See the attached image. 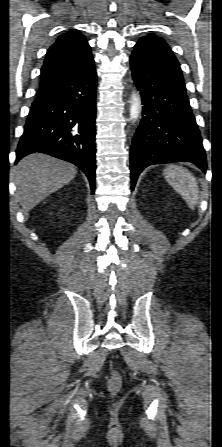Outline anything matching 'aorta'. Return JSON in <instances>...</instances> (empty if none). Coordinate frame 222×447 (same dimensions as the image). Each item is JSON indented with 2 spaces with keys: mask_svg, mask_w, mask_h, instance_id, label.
Returning <instances> with one entry per match:
<instances>
[{
  "mask_svg": "<svg viewBox=\"0 0 222 447\" xmlns=\"http://www.w3.org/2000/svg\"><path fill=\"white\" fill-rule=\"evenodd\" d=\"M141 112V99L138 93H133L131 96L130 119L136 121Z\"/></svg>",
  "mask_w": 222,
  "mask_h": 447,
  "instance_id": "aorta-1",
  "label": "aorta"
}]
</instances>
